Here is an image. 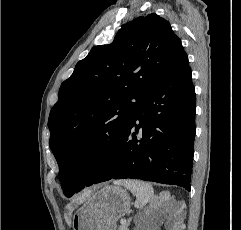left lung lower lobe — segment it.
<instances>
[{"mask_svg":"<svg viewBox=\"0 0 241 230\" xmlns=\"http://www.w3.org/2000/svg\"><path fill=\"white\" fill-rule=\"evenodd\" d=\"M195 114V89L183 53L148 90L119 139H101L76 160L71 177L75 191L122 178L173 184L190 191Z\"/></svg>","mask_w":241,"mask_h":230,"instance_id":"0a47b994","label":"left lung lower lobe"}]
</instances>
